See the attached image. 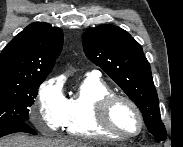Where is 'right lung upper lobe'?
<instances>
[{
	"mask_svg": "<svg viewBox=\"0 0 183 147\" xmlns=\"http://www.w3.org/2000/svg\"><path fill=\"white\" fill-rule=\"evenodd\" d=\"M63 32L48 23L27 26L0 54V84L45 78L61 52Z\"/></svg>",
	"mask_w": 183,
	"mask_h": 147,
	"instance_id": "cb5924a9",
	"label": "right lung upper lobe"
}]
</instances>
